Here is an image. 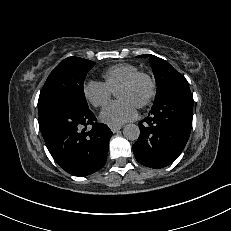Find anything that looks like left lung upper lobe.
I'll list each match as a JSON object with an SVG mask.
<instances>
[{
    "mask_svg": "<svg viewBox=\"0 0 231 231\" xmlns=\"http://www.w3.org/2000/svg\"><path fill=\"white\" fill-rule=\"evenodd\" d=\"M138 57L149 58L157 83V93L154 103L172 90L189 88V84L185 77L176 71L167 61L150 54L140 55Z\"/></svg>",
    "mask_w": 231,
    "mask_h": 231,
    "instance_id": "1",
    "label": "left lung upper lobe"
}]
</instances>
